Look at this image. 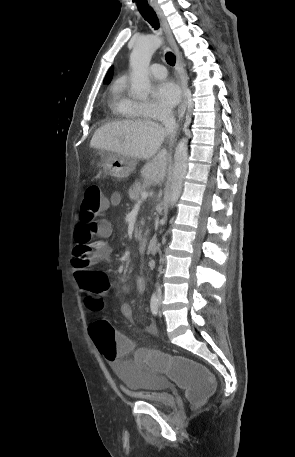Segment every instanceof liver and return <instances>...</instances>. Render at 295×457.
Returning a JSON list of instances; mask_svg holds the SVG:
<instances>
[{
  "label": "liver",
  "mask_w": 295,
  "mask_h": 457,
  "mask_svg": "<svg viewBox=\"0 0 295 457\" xmlns=\"http://www.w3.org/2000/svg\"><path fill=\"white\" fill-rule=\"evenodd\" d=\"M169 135L165 128L150 120H126L107 123L94 133L90 147L118 153L147 162L141 175L147 184L161 185L167 168V150L160 149Z\"/></svg>",
  "instance_id": "liver-1"
}]
</instances>
